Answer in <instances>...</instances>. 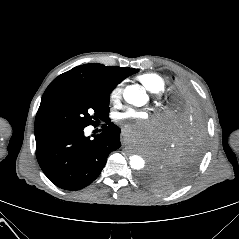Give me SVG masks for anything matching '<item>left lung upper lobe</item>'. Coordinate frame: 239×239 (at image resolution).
I'll return each mask as SVG.
<instances>
[{
    "instance_id": "left-lung-upper-lobe-1",
    "label": "left lung upper lobe",
    "mask_w": 239,
    "mask_h": 239,
    "mask_svg": "<svg viewBox=\"0 0 239 239\" xmlns=\"http://www.w3.org/2000/svg\"><path fill=\"white\" fill-rule=\"evenodd\" d=\"M191 100H196L200 102L196 91L187 82L179 80V79L175 80V87L173 89L172 98H171L172 107L169 113L170 128L177 129L179 126H182V125H179L180 124L178 119L179 110L181 109V106L183 105V103L189 102ZM172 160H174V162H178V163H174L176 164V166H180V168H183L181 167L183 166V163L179 161L181 159H176L178 161H175V159H172ZM176 172H179V171H176ZM181 172L183 171H180V174ZM189 172L192 173L193 171H189ZM190 173H188L187 176H191ZM141 180L146 186H148L149 188L157 192H168L175 188L171 179L167 177L166 173H164L163 171H159L158 169H155L154 167H150L149 170L141 177Z\"/></svg>"
}]
</instances>
